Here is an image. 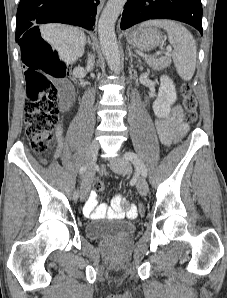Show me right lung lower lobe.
Returning <instances> with one entry per match:
<instances>
[{
	"mask_svg": "<svg viewBox=\"0 0 227 298\" xmlns=\"http://www.w3.org/2000/svg\"><path fill=\"white\" fill-rule=\"evenodd\" d=\"M98 3L99 0H20L16 41L20 42L21 52L25 41L31 36H40L36 24L65 23L93 30Z\"/></svg>",
	"mask_w": 227,
	"mask_h": 298,
	"instance_id": "1",
	"label": "right lung lower lobe"
}]
</instances>
